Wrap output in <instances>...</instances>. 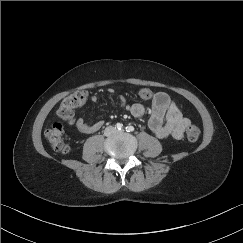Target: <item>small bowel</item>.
<instances>
[{
  "label": "small bowel",
  "mask_w": 243,
  "mask_h": 243,
  "mask_svg": "<svg viewBox=\"0 0 243 243\" xmlns=\"http://www.w3.org/2000/svg\"><path fill=\"white\" fill-rule=\"evenodd\" d=\"M108 94H113V89L107 90ZM142 99H152V107L148 125L152 133L158 138L172 136L176 139L183 136L190 121L183 116L182 110L178 104L171 100L170 96L163 91L153 94L148 89L140 91ZM93 103L99 101L97 94L90 97ZM121 106L129 112L133 117H142L145 113V107L141 103H127L124 98L121 99ZM165 120V122H164ZM104 124L100 120L95 123H89L84 117H80L76 122V127L82 133L90 134L99 130Z\"/></svg>",
  "instance_id": "small-bowel-1"
}]
</instances>
